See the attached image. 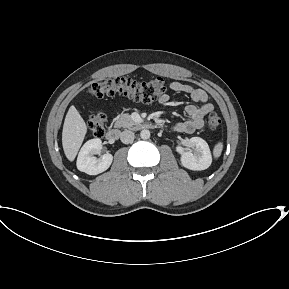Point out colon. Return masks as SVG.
<instances>
[{
    "label": "colon",
    "mask_w": 289,
    "mask_h": 289,
    "mask_svg": "<svg viewBox=\"0 0 289 289\" xmlns=\"http://www.w3.org/2000/svg\"><path fill=\"white\" fill-rule=\"evenodd\" d=\"M166 91L163 78L139 82L128 77H116L95 82L88 86V93L95 97L114 96L117 94L127 96L134 100L151 103ZM106 116L103 112H96L88 119V128L95 137H102L106 129ZM221 118L216 112L207 117V126L210 130H217L221 126Z\"/></svg>",
    "instance_id": "colon-1"
}]
</instances>
